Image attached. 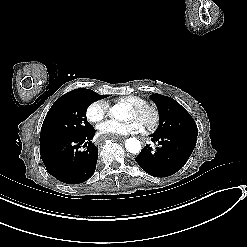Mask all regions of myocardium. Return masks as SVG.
Returning a JSON list of instances; mask_svg holds the SVG:
<instances>
[{
    "label": "myocardium",
    "instance_id": "obj_1",
    "mask_svg": "<svg viewBox=\"0 0 247 247\" xmlns=\"http://www.w3.org/2000/svg\"><path fill=\"white\" fill-rule=\"evenodd\" d=\"M134 113L141 114L148 110L152 114V121L147 129H144L143 133L146 135L153 134L160 124V111L156 104L153 103H142L139 106H128Z\"/></svg>",
    "mask_w": 247,
    "mask_h": 247
}]
</instances>
